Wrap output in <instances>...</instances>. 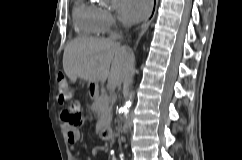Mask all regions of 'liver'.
Here are the masks:
<instances>
[{
  "label": "liver",
  "instance_id": "1",
  "mask_svg": "<svg viewBox=\"0 0 242 160\" xmlns=\"http://www.w3.org/2000/svg\"><path fill=\"white\" fill-rule=\"evenodd\" d=\"M125 50L131 49L109 39L78 37L64 49L63 69L73 83L77 78L95 83L108 79V87L114 90L133 65L134 59L122 67Z\"/></svg>",
  "mask_w": 242,
  "mask_h": 160
}]
</instances>
